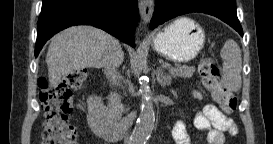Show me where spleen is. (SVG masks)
I'll list each match as a JSON object with an SVG mask.
<instances>
[{
  "label": "spleen",
  "instance_id": "1",
  "mask_svg": "<svg viewBox=\"0 0 273 144\" xmlns=\"http://www.w3.org/2000/svg\"><path fill=\"white\" fill-rule=\"evenodd\" d=\"M223 60L222 83L230 91H238L241 88L242 58L241 50L233 39H228L221 49Z\"/></svg>",
  "mask_w": 273,
  "mask_h": 144
}]
</instances>
